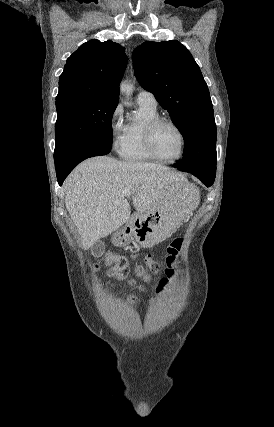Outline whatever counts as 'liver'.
<instances>
[{"label": "liver", "mask_w": 274, "mask_h": 427, "mask_svg": "<svg viewBox=\"0 0 274 427\" xmlns=\"http://www.w3.org/2000/svg\"><path fill=\"white\" fill-rule=\"evenodd\" d=\"M186 182L185 176L161 164L97 156L79 164L66 178L65 206L81 235L82 247L88 249L128 221L131 212L122 196L124 190L132 192L137 214H145L169 202L173 190Z\"/></svg>", "instance_id": "6515ba94"}]
</instances>
